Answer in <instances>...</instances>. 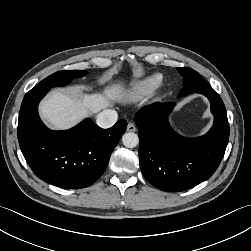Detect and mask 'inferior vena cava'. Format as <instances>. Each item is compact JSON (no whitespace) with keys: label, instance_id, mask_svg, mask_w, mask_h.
Instances as JSON below:
<instances>
[{"label":"inferior vena cava","instance_id":"inferior-vena-cava-1","mask_svg":"<svg viewBox=\"0 0 251 251\" xmlns=\"http://www.w3.org/2000/svg\"><path fill=\"white\" fill-rule=\"evenodd\" d=\"M118 118V114L115 110L105 109L97 115L96 123L101 128L112 127Z\"/></svg>","mask_w":251,"mask_h":251}]
</instances>
